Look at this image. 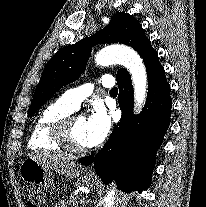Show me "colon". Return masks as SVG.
I'll list each match as a JSON object with an SVG mask.
<instances>
[{
    "label": "colon",
    "mask_w": 206,
    "mask_h": 207,
    "mask_svg": "<svg viewBox=\"0 0 206 207\" xmlns=\"http://www.w3.org/2000/svg\"><path fill=\"white\" fill-rule=\"evenodd\" d=\"M26 198L28 207H43L45 203L44 195L37 190H29Z\"/></svg>",
    "instance_id": "1"
}]
</instances>
